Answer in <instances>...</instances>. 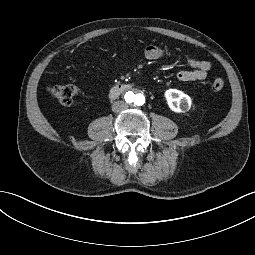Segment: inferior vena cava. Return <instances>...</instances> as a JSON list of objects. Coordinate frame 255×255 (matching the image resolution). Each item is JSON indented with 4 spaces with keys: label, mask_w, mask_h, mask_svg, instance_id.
Returning a JSON list of instances; mask_svg holds the SVG:
<instances>
[{
    "label": "inferior vena cava",
    "mask_w": 255,
    "mask_h": 255,
    "mask_svg": "<svg viewBox=\"0 0 255 255\" xmlns=\"http://www.w3.org/2000/svg\"><path fill=\"white\" fill-rule=\"evenodd\" d=\"M128 108V104L124 101H116L112 105V111L113 112H122Z\"/></svg>",
    "instance_id": "1"
}]
</instances>
